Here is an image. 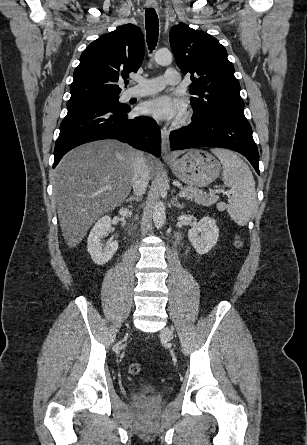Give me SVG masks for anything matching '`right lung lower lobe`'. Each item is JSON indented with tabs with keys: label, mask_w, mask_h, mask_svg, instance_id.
I'll return each mask as SVG.
<instances>
[{
	"label": "right lung lower lobe",
	"mask_w": 307,
	"mask_h": 445,
	"mask_svg": "<svg viewBox=\"0 0 307 445\" xmlns=\"http://www.w3.org/2000/svg\"><path fill=\"white\" fill-rule=\"evenodd\" d=\"M130 110L127 106L111 103L68 108V113L60 125V134L54 149L53 168L74 147L100 139H118L159 157L161 134L157 123L146 116L128 119L127 113Z\"/></svg>",
	"instance_id": "98d812e1"
}]
</instances>
